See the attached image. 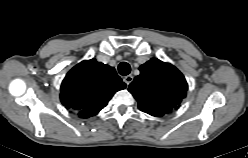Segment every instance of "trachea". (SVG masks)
Returning <instances> with one entry per match:
<instances>
[{
  "mask_svg": "<svg viewBox=\"0 0 248 158\" xmlns=\"http://www.w3.org/2000/svg\"><path fill=\"white\" fill-rule=\"evenodd\" d=\"M118 71L121 75L126 76L130 73L131 68L130 65L126 62H122L120 63V65L118 66Z\"/></svg>",
  "mask_w": 248,
  "mask_h": 158,
  "instance_id": "obj_1",
  "label": "trachea"
}]
</instances>
